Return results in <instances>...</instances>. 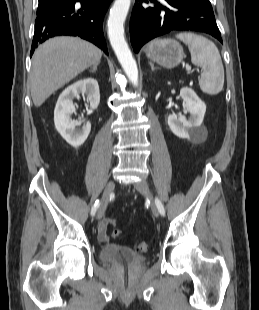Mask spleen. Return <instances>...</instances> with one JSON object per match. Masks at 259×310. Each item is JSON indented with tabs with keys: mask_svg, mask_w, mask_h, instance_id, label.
Listing matches in <instances>:
<instances>
[{
	"mask_svg": "<svg viewBox=\"0 0 259 310\" xmlns=\"http://www.w3.org/2000/svg\"><path fill=\"white\" fill-rule=\"evenodd\" d=\"M191 53V62L202 68L199 79L201 90L209 95L220 93L224 85V68L216 45L209 39L191 32L176 35Z\"/></svg>",
	"mask_w": 259,
	"mask_h": 310,
	"instance_id": "obj_1",
	"label": "spleen"
}]
</instances>
